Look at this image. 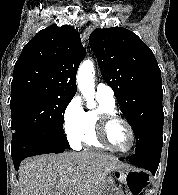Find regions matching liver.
I'll use <instances>...</instances> for the list:
<instances>
[{
  "label": "liver",
  "mask_w": 178,
  "mask_h": 195,
  "mask_svg": "<svg viewBox=\"0 0 178 195\" xmlns=\"http://www.w3.org/2000/svg\"><path fill=\"white\" fill-rule=\"evenodd\" d=\"M127 167L92 152L35 156L20 166L18 195H99L108 174Z\"/></svg>",
  "instance_id": "1"
}]
</instances>
